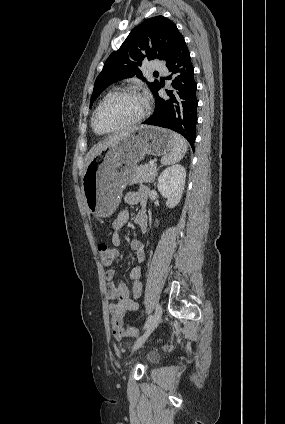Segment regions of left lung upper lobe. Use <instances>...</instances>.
<instances>
[{
    "label": "left lung upper lobe",
    "mask_w": 285,
    "mask_h": 424,
    "mask_svg": "<svg viewBox=\"0 0 285 424\" xmlns=\"http://www.w3.org/2000/svg\"><path fill=\"white\" fill-rule=\"evenodd\" d=\"M181 36L176 25L163 16L146 19L136 26L121 47L106 60L103 70L96 78L90 108L101 92L114 82L134 75L145 81L139 70L143 60L167 61ZM147 84L154 92L159 82Z\"/></svg>",
    "instance_id": "1"
}]
</instances>
